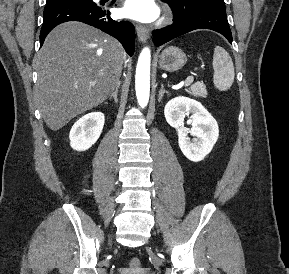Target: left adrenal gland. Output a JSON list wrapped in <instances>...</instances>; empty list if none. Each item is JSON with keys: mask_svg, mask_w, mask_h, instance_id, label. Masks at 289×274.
I'll return each mask as SVG.
<instances>
[{"mask_svg": "<svg viewBox=\"0 0 289 274\" xmlns=\"http://www.w3.org/2000/svg\"><path fill=\"white\" fill-rule=\"evenodd\" d=\"M165 93L168 94V92L165 91L164 86H163V84H162V85H161V89H160V91H159V98H158V101H159V102L162 100V98H163V96H164Z\"/></svg>", "mask_w": 289, "mask_h": 274, "instance_id": "1", "label": "left adrenal gland"}]
</instances>
